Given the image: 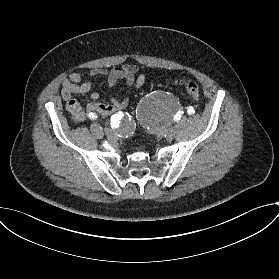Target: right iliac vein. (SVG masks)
<instances>
[{
  "instance_id": "1",
  "label": "right iliac vein",
  "mask_w": 279,
  "mask_h": 279,
  "mask_svg": "<svg viewBox=\"0 0 279 279\" xmlns=\"http://www.w3.org/2000/svg\"><path fill=\"white\" fill-rule=\"evenodd\" d=\"M105 133L109 136V137H113L114 136V131L111 128H105Z\"/></svg>"
}]
</instances>
